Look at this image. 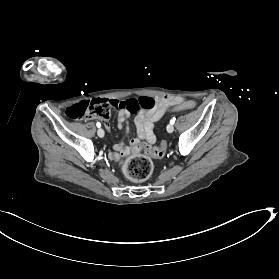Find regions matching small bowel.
<instances>
[{
	"mask_svg": "<svg viewBox=\"0 0 279 279\" xmlns=\"http://www.w3.org/2000/svg\"><path fill=\"white\" fill-rule=\"evenodd\" d=\"M180 100L176 98L159 96L156 98V105L153 109L148 111H139L135 117V124L137 128L138 139L132 140L130 142L131 146L138 144L139 141H146L150 144H153L156 140V137L153 133L154 123L158 121L166 112L167 108L170 105L178 104ZM130 114L128 111H120L118 113V129H122L124 124L127 122ZM105 128L107 131H110L111 126L108 121H105ZM126 132L129 133V128H126ZM128 147L124 143L114 144L113 152L109 153L110 159L116 161L119 158V154L127 151Z\"/></svg>",
	"mask_w": 279,
	"mask_h": 279,
	"instance_id": "1",
	"label": "small bowel"
}]
</instances>
